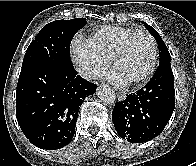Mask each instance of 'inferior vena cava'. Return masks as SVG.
<instances>
[{
	"instance_id": "602c4592",
	"label": "inferior vena cava",
	"mask_w": 196,
	"mask_h": 166,
	"mask_svg": "<svg viewBox=\"0 0 196 166\" xmlns=\"http://www.w3.org/2000/svg\"><path fill=\"white\" fill-rule=\"evenodd\" d=\"M78 73L80 74V76L88 80L93 79L96 75L95 71L92 68L86 66L80 67L78 69Z\"/></svg>"
}]
</instances>
